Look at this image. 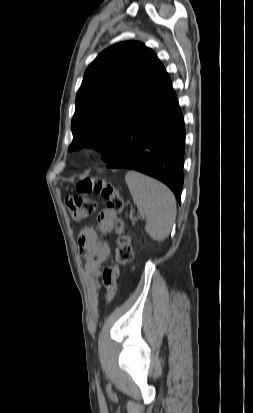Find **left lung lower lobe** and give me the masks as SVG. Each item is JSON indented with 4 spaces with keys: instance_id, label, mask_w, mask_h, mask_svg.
<instances>
[{
    "instance_id": "0a47b994",
    "label": "left lung lower lobe",
    "mask_w": 253,
    "mask_h": 413,
    "mask_svg": "<svg viewBox=\"0 0 253 413\" xmlns=\"http://www.w3.org/2000/svg\"><path fill=\"white\" fill-rule=\"evenodd\" d=\"M185 125L168 73L124 125L118 155L107 168H126L165 183L180 202L183 187Z\"/></svg>"
}]
</instances>
